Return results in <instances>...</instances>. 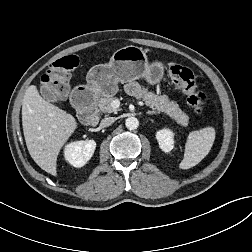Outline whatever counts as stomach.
<instances>
[{"label": "stomach", "mask_w": 252, "mask_h": 252, "mask_svg": "<svg viewBox=\"0 0 252 252\" xmlns=\"http://www.w3.org/2000/svg\"><path fill=\"white\" fill-rule=\"evenodd\" d=\"M164 64L148 62L146 52L137 46H126L114 52L109 63L92 67L87 76V85L75 87L78 92H90L94 96H108L118 91V83H127L145 78L148 83L160 82Z\"/></svg>", "instance_id": "stomach-1"}]
</instances>
